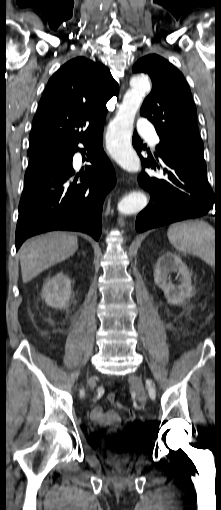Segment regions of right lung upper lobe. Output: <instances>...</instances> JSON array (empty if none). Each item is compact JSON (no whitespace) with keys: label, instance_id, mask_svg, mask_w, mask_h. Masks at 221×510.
Listing matches in <instances>:
<instances>
[{"label":"right lung upper lobe","instance_id":"right-lung-upper-lobe-1","mask_svg":"<svg viewBox=\"0 0 221 510\" xmlns=\"http://www.w3.org/2000/svg\"><path fill=\"white\" fill-rule=\"evenodd\" d=\"M118 94L109 69L85 57L64 64L48 81L33 119L28 152L68 149L105 122L106 103ZM86 130L79 132L80 128Z\"/></svg>","mask_w":221,"mask_h":510}]
</instances>
